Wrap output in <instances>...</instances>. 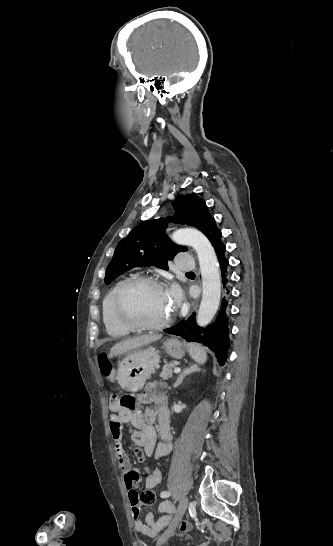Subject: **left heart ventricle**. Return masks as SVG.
<instances>
[{
  "label": "left heart ventricle",
  "mask_w": 333,
  "mask_h": 546,
  "mask_svg": "<svg viewBox=\"0 0 333 546\" xmlns=\"http://www.w3.org/2000/svg\"><path fill=\"white\" fill-rule=\"evenodd\" d=\"M131 313L142 321L158 323L173 311V306L164 288L143 285L135 288L127 297Z\"/></svg>",
  "instance_id": "1"
}]
</instances>
